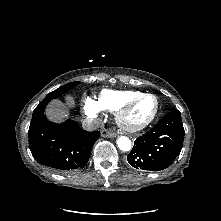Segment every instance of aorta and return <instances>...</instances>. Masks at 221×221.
Wrapping results in <instances>:
<instances>
[{"label":"aorta","mask_w":221,"mask_h":221,"mask_svg":"<svg viewBox=\"0 0 221 221\" xmlns=\"http://www.w3.org/2000/svg\"><path fill=\"white\" fill-rule=\"evenodd\" d=\"M117 145L120 150L125 152L129 151L132 147L130 139L125 136H121L117 139Z\"/></svg>","instance_id":"obj_1"}]
</instances>
